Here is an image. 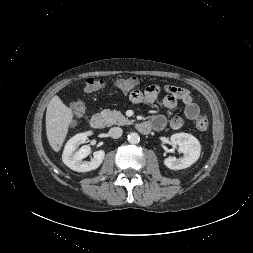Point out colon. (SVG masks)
<instances>
[{
  "label": "colon",
  "mask_w": 253,
  "mask_h": 253,
  "mask_svg": "<svg viewBox=\"0 0 253 253\" xmlns=\"http://www.w3.org/2000/svg\"><path fill=\"white\" fill-rule=\"evenodd\" d=\"M103 80L89 77L85 81L84 91L92 93L104 87ZM138 85V80L135 77L121 78L115 81L114 86L117 90L122 92H129L135 89ZM70 110L74 118H80L85 114L86 105L83 101H76L70 104ZM194 124L198 130L204 131L209 126V119L206 115H199L195 118Z\"/></svg>",
  "instance_id": "obj_1"
}]
</instances>
